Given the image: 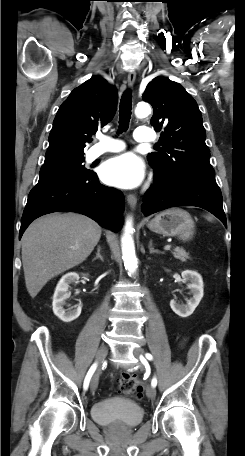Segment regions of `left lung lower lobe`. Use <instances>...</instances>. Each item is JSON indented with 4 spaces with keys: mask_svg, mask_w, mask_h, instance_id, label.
Returning <instances> with one entry per match:
<instances>
[{
    "mask_svg": "<svg viewBox=\"0 0 245 456\" xmlns=\"http://www.w3.org/2000/svg\"><path fill=\"white\" fill-rule=\"evenodd\" d=\"M155 173V184L143 197L144 215L176 206H197L208 210L226 226L222 194L215 179Z\"/></svg>",
    "mask_w": 245,
    "mask_h": 456,
    "instance_id": "0a47b994",
    "label": "left lung lower lobe"
}]
</instances>
